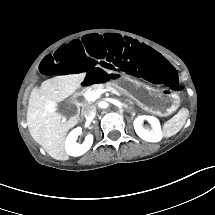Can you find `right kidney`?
Returning <instances> with one entry per match:
<instances>
[{
    "label": "right kidney",
    "mask_w": 215,
    "mask_h": 215,
    "mask_svg": "<svg viewBox=\"0 0 215 215\" xmlns=\"http://www.w3.org/2000/svg\"><path fill=\"white\" fill-rule=\"evenodd\" d=\"M82 133V128L77 127L73 129L67 136L65 141V150L68 155L78 157L86 153L93 142V136L87 135L83 143H76V137Z\"/></svg>",
    "instance_id": "ca27d5eb"
}]
</instances>
